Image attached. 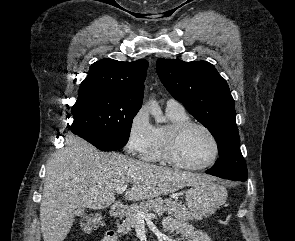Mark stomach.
<instances>
[{
    "label": "stomach",
    "instance_id": "0dacf381",
    "mask_svg": "<svg viewBox=\"0 0 295 241\" xmlns=\"http://www.w3.org/2000/svg\"><path fill=\"white\" fill-rule=\"evenodd\" d=\"M226 199V188L211 179L191 185L186 192V205L198 218L213 215Z\"/></svg>",
    "mask_w": 295,
    "mask_h": 241
}]
</instances>
